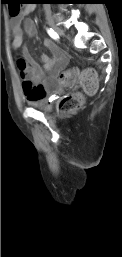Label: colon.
I'll return each mask as SVG.
<instances>
[{"label": "colon", "mask_w": 122, "mask_h": 257, "mask_svg": "<svg viewBox=\"0 0 122 257\" xmlns=\"http://www.w3.org/2000/svg\"><path fill=\"white\" fill-rule=\"evenodd\" d=\"M22 9V5H6V10H11L12 16L18 15L19 10ZM58 78L56 79V84H60L61 87H76L77 83L72 82L76 79L86 93H93L97 89V76L91 69L79 71L68 68L67 70H62V74H59ZM83 102L84 98L79 93L67 95L61 100L60 109L65 113H74L82 107Z\"/></svg>", "instance_id": "5ec220e1"}]
</instances>
